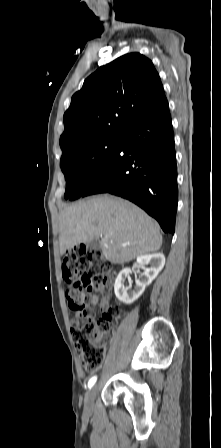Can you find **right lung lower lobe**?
I'll use <instances>...</instances> for the list:
<instances>
[{
  "label": "right lung lower lobe",
  "instance_id": "right-lung-lower-lobe-1",
  "mask_svg": "<svg viewBox=\"0 0 221 448\" xmlns=\"http://www.w3.org/2000/svg\"><path fill=\"white\" fill-rule=\"evenodd\" d=\"M111 193L126 198L174 234L178 203L174 134L167 99L129 122L82 197Z\"/></svg>",
  "mask_w": 221,
  "mask_h": 448
}]
</instances>
